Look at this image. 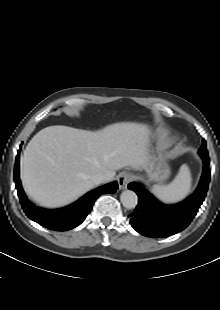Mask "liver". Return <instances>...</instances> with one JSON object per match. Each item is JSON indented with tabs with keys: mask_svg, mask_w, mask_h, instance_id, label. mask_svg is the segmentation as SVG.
Wrapping results in <instances>:
<instances>
[{
	"mask_svg": "<svg viewBox=\"0 0 220 310\" xmlns=\"http://www.w3.org/2000/svg\"><path fill=\"white\" fill-rule=\"evenodd\" d=\"M150 129L146 124L115 123L93 132L68 126H49L28 143L21 159L26 193L45 207H61L95 184L97 173L113 179L116 170L145 168Z\"/></svg>",
	"mask_w": 220,
	"mask_h": 310,
	"instance_id": "1",
	"label": "liver"
}]
</instances>
